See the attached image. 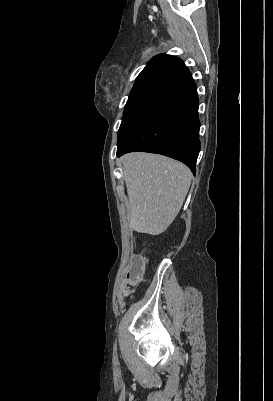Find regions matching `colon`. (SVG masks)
<instances>
[{"instance_id": "colon-1", "label": "colon", "mask_w": 273, "mask_h": 401, "mask_svg": "<svg viewBox=\"0 0 273 401\" xmlns=\"http://www.w3.org/2000/svg\"><path fill=\"white\" fill-rule=\"evenodd\" d=\"M148 260L146 257H134L129 259V264H131V268L129 269L128 278L121 279L122 287H130L131 292L136 293L139 290V282L142 279L143 274H146V269H143L146 266ZM130 290L126 288H121L118 291L119 296L126 297L130 295Z\"/></svg>"}]
</instances>
